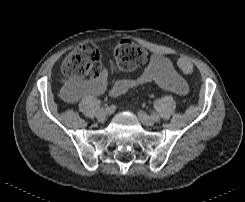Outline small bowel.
I'll list each match as a JSON object with an SVG mask.
<instances>
[{"instance_id":"obj_1","label":"small bowel","mask_w":245,"mask_h":202,"mask_svg":"<svg viewBox=\"0 0 245 202\" xmlns=\"http://www.w3.org/2000/svg\"><path fill=\"white\" fill-rule=\"evenodd\" d=\"M186 62L190 61L179 58L177 66L181 69ZM147 83H155L175 94H185L188 91L187 82L176 72L173 64L161 55H153L145 70L136 78L110 81L107 71L102 70L93 79H78L65 104H78L84 99L101 95L106 91L113 97L120 96L129 89Z\"/></svg>"}]
</instances>
